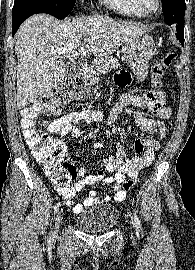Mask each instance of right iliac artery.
<instances>
[{
    "instance_id": "right-iliac-artery-1",
    "label": "right iliac artery",
    "mask_w": 195,
    "mask_h": 270,
    "mask_svg": "<svg viewBox=\"0 0 195 270\" xmlns=\"http://www.w3.org/2000/svg\"><path fill=\"white\" fill-rule=\"evenodd\" d=\"M60 207V202H58L55 206H54V213H57ZM52 235L50 233L49 239H51Z\"/></svg>"
}]
</instances>
